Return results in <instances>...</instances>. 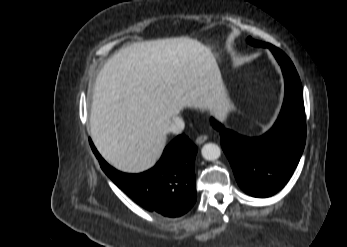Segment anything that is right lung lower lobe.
<instances>
[{"label":"right lung lower lobe","mask_w":347,"mask_h":247,"mask_svg":"<svg viewBox=\"0 0 347 247\" xmlns=\"http://www.w3.org/2000/svg\"><path fill=\"white\" fill-rule=\"evenodd\" d=\"M91 147L106 175L137 204L168 217L181 216L196 201L194 161L197 147L183 134L164 150L159 162L140 174L122 173Z\"/></svg>","instance_id":"98d812e1"}]
</instances>
